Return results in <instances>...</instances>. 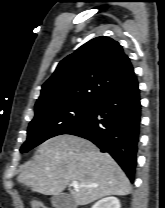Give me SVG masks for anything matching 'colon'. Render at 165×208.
<instances>
[{
  "label": "colon",
  "instance_id": "5ec220e1",
  "mask_svg": "<svg viewBox=\"0 0 165 208\" xmlns=\"http://www.w3.org/2000/svg\"><path fill=\"white\" fill-rule=\"evenodd\" d=\"M30 208H47L40 200H32Z\"/></svg>",
  "mask_w": 165,
  "mask_h": 208
}]
</instances>
